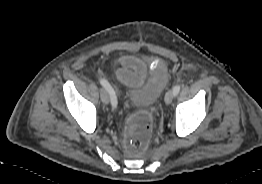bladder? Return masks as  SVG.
<instances>
[{
    "instance_id": "bladder-1",
    "label": "bladder",
    "mask_w": 262,
    "mask_h": 184,
    "mask_svg": "<svg viewBox=\"0 0 262 184\" xmlns=\"http://www.w3.org/2000/svg\"><path fill=\"white\" fill-rule=\"evenodd\" d=\"M167 85L165 76L153 75L142 86H132L128 93L131 106L143 109L153 106Z\"/></svg>"
}]
</instances>
